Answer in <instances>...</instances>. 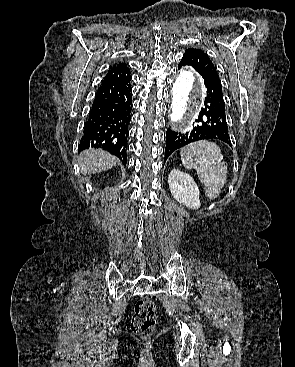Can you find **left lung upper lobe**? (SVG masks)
I'll use <instances>...</instances> for the list:
<instances>
[{"instance_id":"1","label":"left lung upper lobe","mask_w":295,"mask_h":367,"mask_svg":"<svg viewBox=\"0 0 295 367\" xmlns=\"http://www.w3.org/2000/svg\"><path fill=\"white\" fill-rule=\"evenodd\" d=\"M182 59L188 60L197 68L217 73L216 67L202 50L189 48L185 51Z\"/></svg>"}]
</instances>
